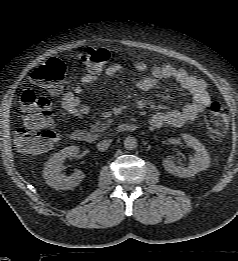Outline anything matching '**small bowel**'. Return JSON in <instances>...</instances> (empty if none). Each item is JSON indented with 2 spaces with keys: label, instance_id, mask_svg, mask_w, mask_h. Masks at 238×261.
<instances>
[{
  "label": "small bowel",
  "instance_id": "1",
  "mask_svg": "<svg viewBox=\"0 0 238 261\" xmlns=\"http://www.w3.org/2000/svg\"><path fill=\"white\" fill-rule=\"evenodd\" d=\"M119 63H111L105 68V75L112 77L122 70ZM134 69L139 73L150 70V74L141 78L137 86L141 91H150L157 87L161 82L173 79L183 89H185L191 101L180 109L159 111L153 114L150 123L155 128L163 126L181 127L188 122H192L206 109L210 103V95L207 91L206 83L189 74L181 68H176L170 64L154 65L150 69L145 62L138 61L134 64ZM97 79L93 72L87 73L81 77L73 90L66 92L61 101L60 116L64 120H69L71 116L83 118L90 112L88 104L80 98V94L86 86L92 84Z\"/></svg>",
  "mask_w": 238,
  "mask_h": 261
}]
</instances>
